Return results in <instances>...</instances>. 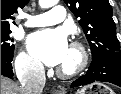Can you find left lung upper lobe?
<instances>
[{
    "mask_svg": "<svg viewBox=\"0 0 121 94\" xmlns=\"http://www.w3.org/2000/svg\"><path fill=\"white\" fill-rule=\"evenodd\" d=\"M81 25L92 51V57L121 56L108 0H64Z\"/></svg>",
    "mask_w": 121,
    "mask_h": 94,
    "instance_id": "5c2ea615",
    "label": "left lung upper lobe"
}]
</instances>
